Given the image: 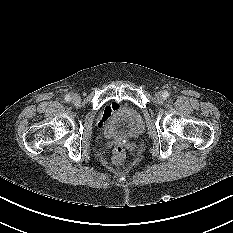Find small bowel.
<instances>
[{"label": "small bowel", "instance_id": "1", "mask_svg": "<svg viewBox=\"0 0 233 233\" xmlns=\"http://www.w3.org/2000/svg\"><path fill=\"white\" fill-rule=\"evenodd\" d=\"M120 108V105L117 102H113L110 105H107L98 118V125L100 128L110 119V117Z\"/></svg>", "mask_w": 233, "mask_h": 233}]
</instances>
